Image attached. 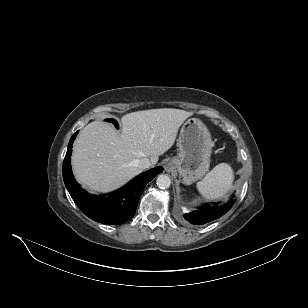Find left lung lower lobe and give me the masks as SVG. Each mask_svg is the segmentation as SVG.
I'll list each match as a JSON object with an SVG mask.
<instances>
[{"mask_svg": "<svg viewBox=\"0 0 308 308\" xmlns=\"http://www.w3.org/2000/svg\"><path fill=\"white\" fill-rule=\"evenodd\" d=\"M233 202L234 201H230L224 205H215L213 207L205 205L203 207H200L199 210L186 213L184 215V218L191 224L203 225L224 215L227 211H229Z\"/></svg>", "mask_w": 308, "mask_h": 308, "instance_id": "1", "label": "left lung lower lobe"}]
</instances>
